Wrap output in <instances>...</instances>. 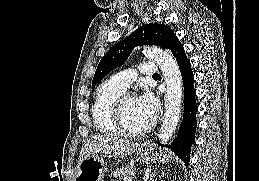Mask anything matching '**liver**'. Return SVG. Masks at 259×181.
Wrapping results in <instances>:
<instances>
[{
	"instance_id": "liver-1",
	"label": "liver",
	"mask_w": 259,
	"mask_h": 181,
	"mask_svg": "<svg viewBox=\"0 0 259 181\" xmlns=\"http://www.w3.org/2000/svg\"><path fill=\"white\" fill-rule=\"evenodd\" d=\"M138 146V143L130 142L112 134L97 135L83 146L78 165L88 156L96 155L97 153L127 156L135 152Z\"/></svg>"
}]
</instances>
